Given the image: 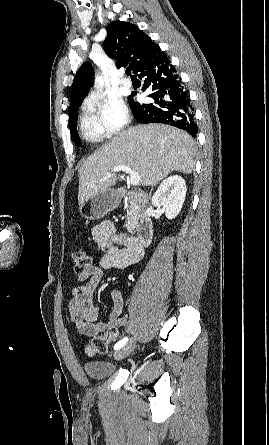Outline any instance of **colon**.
<instances>
[{"label": "colon", "instance_id": "obj_1", "mask_svg": "<svg viewBox=\"0 0 269 445\" xmlns=\"http://www.w3.org/2000/svg\"><path fill=\"white\" fill-rule=\"evenodd\" d=\"M74 271L77 274H81L87 267L91 265V258L82 250H76L73 255ZM117 339V333L115 331L109 332L106 335L95 337L86 346L85 351L88 356H94L97 354H104L107 352L108 343L111 340Z\"/></svg>", "mask_w": 269, "mask_h": 445}]
</instances>
